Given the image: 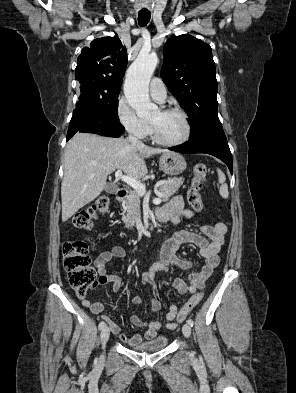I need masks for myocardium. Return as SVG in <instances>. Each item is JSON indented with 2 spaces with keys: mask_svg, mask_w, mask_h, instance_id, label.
Wrapping results in <instances>:
<instances>
[{
  "mask_svg": "<svg viewBox=\"0 0 296 393\" xmlns=\"http://www.w3.org/2000/svg\"><path fill=\"white\" fill-rule=\"evenodd\" d=\"M160 111L162 113H177V114H179L182 117L183 121H184L185 133L179 140H176V141H165V140H163V139H161L159 137L155 125L152 122H150V124H151V134H152L153 140L156 143H158L159 145L167 146V147H175V146H179V145H182L185 142H187L189 140V138H190V135H191V123H190L188 114L184 110H182L180 108H177V107L163 108Z\"/></svg>",
  "mask_w": 296,
  "mask_h": 393,
  "instance_id": "1",
  "label": "myocardium"
}]
</instances>
